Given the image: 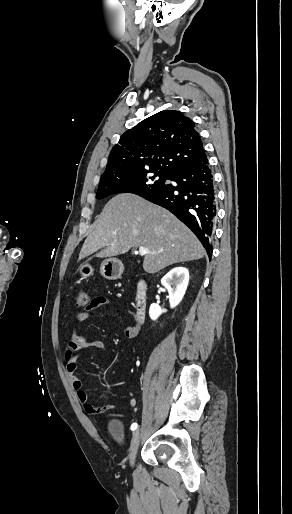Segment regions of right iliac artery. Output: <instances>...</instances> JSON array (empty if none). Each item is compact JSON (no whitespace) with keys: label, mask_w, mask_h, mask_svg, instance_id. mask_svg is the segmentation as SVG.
Instances as JSON below:
<instances>
[{"label":"right iliac artery","mask_w":292,"mask_h":514,"mask_svg":"<svg viewBox=\"0 0 292 514\" xmlns=\"http://www.w3.org/2000/svg\"><path fill=\"white\" fill-rule=\"evenodd\" d=\"M137 426H138V425H137V423H133V424L131 425V430H132V431H135V430L137 429Z\"/></svg>","instance_id":"obj_1"}]
</instances>
